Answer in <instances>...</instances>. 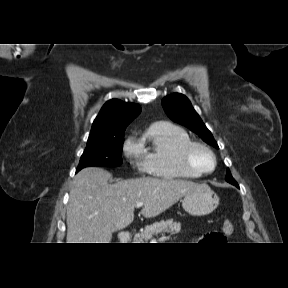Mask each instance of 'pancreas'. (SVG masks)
<instances>
[{
  "label": "pancreas",
  "instance_id": "1",
  "mask_svg": "<svg viewBox=\"0 0 288 288\" xmlns=\"http://www.w3.org/2000/svg\"><path fill=\"white\" fill-rule=\"evenodd\" d=\"M181 230V224L173 219L162 220L145 227L144 231L134 236L135 243H148L153 236L163 233L177 234Z\"/></svg>",
  "mask_w": 288,
  "mask_h": 288
}]
</instances>
